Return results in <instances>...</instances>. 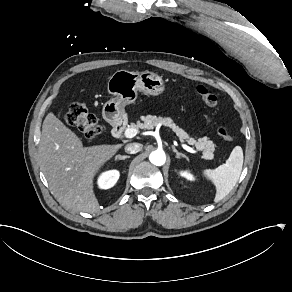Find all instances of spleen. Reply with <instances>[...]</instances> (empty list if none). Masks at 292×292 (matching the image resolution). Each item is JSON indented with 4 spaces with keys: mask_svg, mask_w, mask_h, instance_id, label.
Returning <instances> with one entry per match:
<instances>
[{
    "mask_svg": "<svg viewBox=\"0 0 292 292\" xmlns=\"http://www.w3.org/2000/svg\"><path fill=\"white\" fill-rule=\"evenodd\" d=\"M243 160V150L240 146H236L225 164L213 170L203 171L204 176L216 186L215 202L222 200L234 188L242 171Z\"/></svg>",
    "mask_w": 292,
    "mask_h": 292,
    "instance_id": "obj_1",
    "label": "spleen"
}]
</instances>
